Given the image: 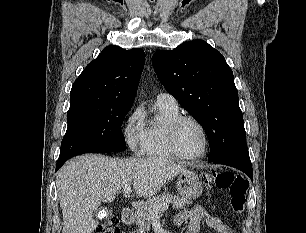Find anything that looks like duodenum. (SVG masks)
I'll use <instances>...</instances> for the list:
<instances>
[{
	"mask_svg": "<svg viewBox=\"0 0 306 233\" xmlns=\"http://www.w3.org/2000/svg\"><path fill=\"white\" fill-rule=\"evenodd\" d=\"M122 222L126 225H130L134 220V212L131 208L125 207L121 211Z\"/></svg>",
	"mask_w": 306,
	"mask_h": 233,
	"instance_id": "obj_1",
	"label": "duodenum"
}]
</instances>
